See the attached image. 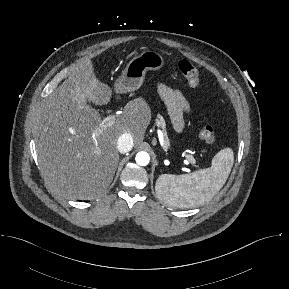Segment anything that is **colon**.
<instances>
[{
	"instance_id": "1",
	"label": "colon",
	"mask_w": 289,
	"mask_h": 289,
	"mask_svg": "<svg viewBox=\"0 0 289 289\" xmlns=\"http://www.w3.org/2000/svg\"><path fill=\"white\" fill-rule=\"evenodd\" d=\"M178 69L190 87H197L199 85V72L190 61L181 59L178 62ZM200 138L210 145H213L216 142L214 129L209 123L206 122L202 126Z\"/></svg>"
}]
</instances>
